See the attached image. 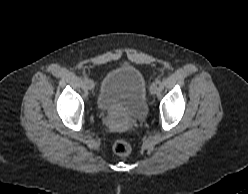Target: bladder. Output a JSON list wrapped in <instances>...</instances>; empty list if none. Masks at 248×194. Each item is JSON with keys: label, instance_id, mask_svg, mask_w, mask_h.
Segmentation results:
<instances>
[{"label": "bladder", "instance_id": "bladder-1", "mask_svg": "<svg viewBox=\"0 0 248 194\" xmlns=\"http://www.w3.org/2000/svg\"><path fill=\"white\" fill-rule=\"evenodd\" d=\"M96 106L103 112L122 109L131 120L144 118L147 102L142 72L133 65H122L110 70L102 80Z\"/></svg>", "mask_w": 248, "mask_h": 194}]
</instances>
